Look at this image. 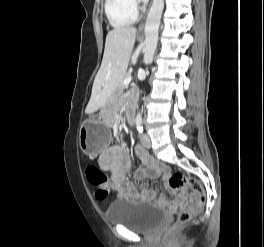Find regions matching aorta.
Listing matches in <instances>:
<instances>
[{
	"label": "aorta",
	"mask_w": 264,
	"mask_h": 247,
	"mask_svg": "<svg viewBox=\"0 0 264 247\" xmlns=\"http://www.w3.org/2000/svg\"><path fill=\"white\" fill-rule=\"evenodd\" d=\"M164 10V0H153L150 7L146 24H145V47H144V63L150 64L153 60L157 42L158 30L161 22V16ZM136 120H141V113H138Z\"/></svg>",
	"instance_id": "aorta-1"
}]
</instances>
